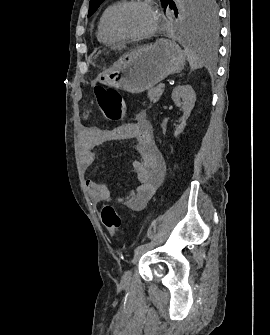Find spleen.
I'll return each instance as SVG.
<instances>
[{
  "instance_id": "obj_1",
  "label": "spleen",
  "mask_w": 270,
  "mask_h": 335,
  "mask_svg": "<svg viewBox=\"0 0 270 335\" xmlns=\"http://www.w3.org/2000/svg\"><path fill=\"white\" fill-rule=\"evenodd\" d=\"M185 54L190 62L191 70H196L200 64H202V54L199 50V44H194V46H184Z\"/></svg>"
}]
</instances>
